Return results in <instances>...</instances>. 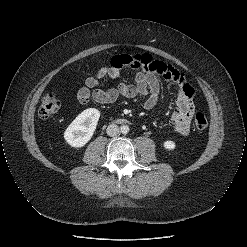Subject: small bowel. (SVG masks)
Masks as SVG:
<instances>
[{
    "mask_svg": "<svg viewBox=\"0 0 247 247\" xmlns=\"http://www.w3.org/2000/svg\"><path fill=\"white\" fill-rule=\"evenodd\" d=\"M124 69L136 70L133 84L120 82L116 87L108 90L99 88L103 79H118ZM158 76L174 83L177 88L176 107L171 120L175 132L185 136L190 131V122L194 112V89L181 72L165 62L154 60L147 53L111 57L107 65L100 68L95 76L84 80L85 87L78 92L77 98L81 104H86L91 98L100 104H110L120 96L134 98L143 95L147 97L144 108L149 110L158 103L160 94Z\"/></svg>",
    "mask_w": 247,
    "mask_h": 247,
    "instance_id": "small-bowel-1",
    "label": "small bowel"
}]
</instances>
